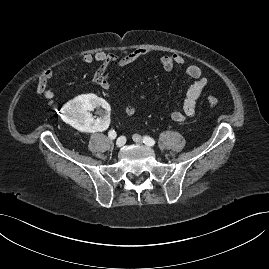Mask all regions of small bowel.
<instances>
[{"label":"small bowel","instance_id":"obj_1","mask_svg":"<svg viewBox=\"0 0 269 269\" xmlns=\"http://www.w3.org/2000/svg\"><path fill=\"white\" fill-rule=\"evenodd\" d=\"M152 50L148 48L136 49L133 52L121 56L114 53H108L99 51L93 54H85L82 58L83 64H91L93 62L100 63V67L93 75V81L103 90H109L111 84L108 79V71L112 66L123 67L130 65L144 57L149 56ZM159 64L165 70H170L174 66H185L186 60L179 54H167L162 55L158 59ZM67 66L61 64L55 69H45L38 77L36 83V92L42 95L44 98L50 100L54 98V92L48 88L49 82L55 75L65 71ZM185 74L187 78L194 80L187 90L186 97L183 102L182 110L172 112V119L176 123H184L187 119L192 118L196 113L197 101L202 94L205 87L208 85V79L202 76V69L195 64L186 65ZM145 98L142 97V100ZM137 111V108L133 104H129L125 107V113L128 116H133ZM109 128V127H108ZM107 128V129H108ZM106 129V130H107ZM105 130V131H106Z\"/></svg>","mask_w":269,"mask_h":269}]
</instances>
